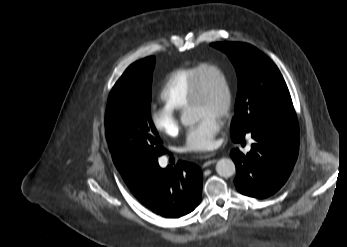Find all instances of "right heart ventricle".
<instances>
[{"mask_svg":"<svg viewBox=\"0 0 347 247\" xmlns=\"http://www.w3.org/2000/svg\"><path fill=\"white\" fill-rule=\"evenodd\" d=\"M198 65L183 67L172 71L163 82L159 97L164 106L173 111L188 107L191 86Z\"/></svg>","mask_w":347,"mask_h":247,"instance_id":"obj_1","label":"right heart ventricle"}]
</instances>
